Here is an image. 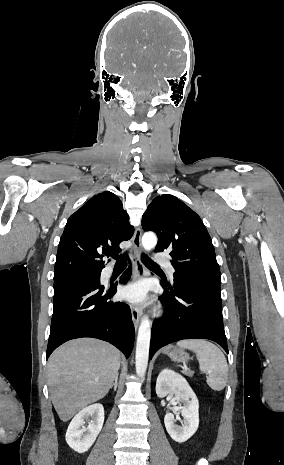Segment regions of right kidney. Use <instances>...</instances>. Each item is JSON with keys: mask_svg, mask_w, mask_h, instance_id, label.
<instances>
[{"mask_svg": "<svg viewBox=\"0 0 284 465\" xmlns=\"http://www.w3.org/2000/svg\"><path fill=\"white\" fill-rule=\"evenodd\" d=\"M92 419L88 427H83L85 421ZM104 423V409L100 403L90 405L82 409L80 413L72 419L66 433L67 445L77 451V453H86L96 441ZM82 427V429H81Z\"/></svg>", "mask_w": 284, "mask_h": 465, "instance_id": "right-kidney-1", "label": "right kidney"}]
</instances>
